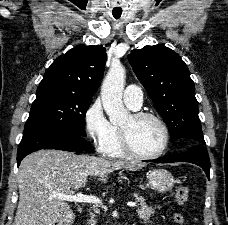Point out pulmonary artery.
<instances>
[{"instance_id":"pulmonary-artery-1","label":"pulmonary artery","mask_w":228,"mask_h":225,"mask_svg":"<svg viewBox=\"0 0 228 225\" xmlns=\"http://www.w3.org/2000/svg\"><path fill=\"white\" fill-rule=\"evenodd\" d=\"M123 99L126 106L132 110L140 109L143 104L142 89H139V85H128V89L123 93Z\"/></svg>"}]
</instances>
